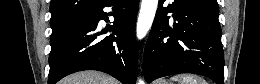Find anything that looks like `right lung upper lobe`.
Segmentation results:
<instances>
[{"label":"right lung upper lobe","mask_w":260,"mask_h":84,"mask_svg":"<svg viewBox=\"0 0 260 84\" xmlns=\"http://www.w3.org/2000/svg\"><path fill=\"white\" fill-rule=\"evenodd\" d=\"M103 0H51L50 25L56 28L84 17Z\"/></svg>","instance_id":"1"}]
</instances>
